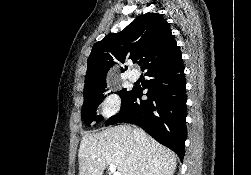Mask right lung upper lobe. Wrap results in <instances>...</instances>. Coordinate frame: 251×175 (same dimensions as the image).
Returning <instances> with one entry per match:
<instances>
[{"mask_svg":"<svg viewBox=\"0 0 251 175\" xmlns=\"http://www.w3.org/2000/svg\"><path fill=\"white\" fill-rule=\"evenodd\" d=\"M181 57V51L163 15L146 13L121 32L110 33L94 44L87 61L84 88L106 85L107 72L117 62L141 59L143 69L148 71Z\"/></svg>","mask_w":251,"mask_h":175,"instance_id":"1","label":"right lung upper lobe"}]
</instances>
